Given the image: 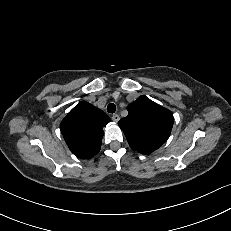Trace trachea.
Instances as JSON below:
<instances>
[{
    "instance_id": "trachea-1",
    "label": "trachea",
    "mask_w": 231,
    "mask_h": 231,
    "mask_svg": "<svg viewBox=\"0 0 231 231\" xmlns=\"http://www.w3.org/2000/svg\"><path fill=\"white\" fill-rule=\"evenodd\" d=\"M107 111L109 113H114L116 111V106L114 103H110L108 106H107Z\"/></svg>"
}]
</instances>
